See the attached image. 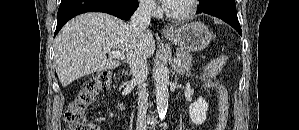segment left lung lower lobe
Here are the masks:
<instances>
[{
  "label": "left lung lower lobe",
  "mask_w": 299,
  "mask_h": 130,
  "mask_svg": "<svg viewBox=\"0 0 299 130\" xmlns=\"http://www.w3.org/2000/svg\"><path fill=\"white\" fill-rule=\"evenodd\" d=\"M201 12L222 19L242 36V30L236 14L235 0H202L200 7L197 8V13Z\"/></svg>",
  "instance_id": "1"
}]
</instances>
